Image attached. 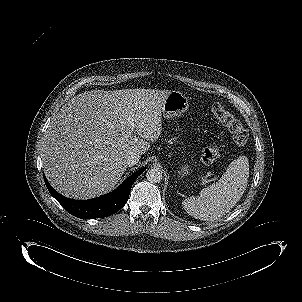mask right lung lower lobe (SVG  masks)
Instances as JSON below:
<instances>
[{
  "instance_id": "98d812e1",
  "label": "right lung lower lobe",
  "mask_w": 302,
  "mask_h": 302,
  "mask_svg": "<svg viewBox=\"0 0 302 302\" xmlns=\"http://www.w3.org/2000/svg\"><path fill=\"white\" fill-rule=\"evenodd\" d=\"M146 170L142 168L128 177L116 190L90 200H73L56 192L45 175V184L50 194L73 216L81 219H94L110 216L119 211L127 202L131 187L137 177Z\"/></svg>"
}]
</instances>
